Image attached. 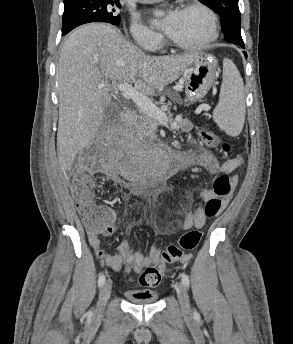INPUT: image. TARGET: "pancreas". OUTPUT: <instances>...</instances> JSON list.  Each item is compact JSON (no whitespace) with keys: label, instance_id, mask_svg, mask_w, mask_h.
Returning <instances> with one entry per match:
<instances>
[{"label":"pancreas","instance_id":"1","mask_svg":"<svg viewBox=\"0 0 293 344\" xmlns=\"http://www.w3.org/2000/svg\"><path fill=\"white\" fill-rule=\"evenodd\" d=\"M175 101H179L180 97L179 95H176L175 98H173ZM188 124L187 120H182L179 122V127L180 128H184L185 125ZM159 125V122L150 117L149 115H147L146 113H143L140 117H139V121L136 124V129L139 133H144L145 131H152V133L150 134V136L152 135L155 138L154 135V131H156L157 126Z\"/></svg>","mask_w":293,"mask_h":344}]
</instances>
